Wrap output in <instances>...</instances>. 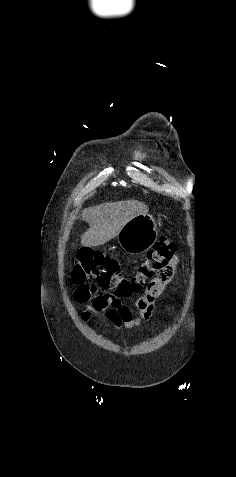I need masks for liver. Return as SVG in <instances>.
Wrapping results in <instances>:
<instances>
[{
	"mask_svg": "<svg viewBox=\"0 0 236 477\" xmlns=\"http://www.w3.org/2000/svg\"><path fill=\"white\" fill-rule=\"evenodd\" d=\"M148 207L136 200L118 201L87 208L82 218L88 222L89 229L82 235L83 246L103 245L121 231L133 217L147 214Z\"/></svg>",
	"mask_w": 236,
	"mask_h": 477,
	"instance_id": "obj_1",
	"label": "liver"
}]
</instances>
